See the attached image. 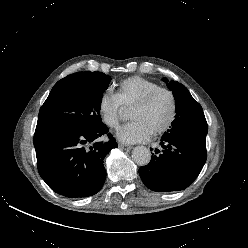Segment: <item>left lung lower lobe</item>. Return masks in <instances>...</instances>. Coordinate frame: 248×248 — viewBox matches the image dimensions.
Instances as JSON below:
<instances>
[{
	"instance_id": "1",
	"label": "left lung lower lobe",
	"mask_w": 248,
	"mask_h": 248,
	"mask_svg": "<svg viewBox=\"0 0 248 248\" xmlns=\"http://www.w3.org/2000/svg\"><path fill=\"white\" fill-rule=\"evenodd\" d=\"M148 165L139 168L145 186L156 192L187 188L201 172L206 159V136L179 132L163 136Z\"/></svg>"
}]
</instances>
